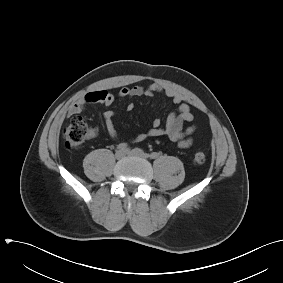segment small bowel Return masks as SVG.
I'll list each match as a JSON object with an SVG mask.
<instances>
[{
    "mask_svg": "<svg viewBox=\"0 0 283 283\" xmlns=\"http://www.w3.org/2000/svg\"><path fill=\"white\" fill-rule=\"evenodd\" d=\"M156 94H163L177 106L176 110L171 112L165 122L162 125V120L157 117L153 121L152 128L144 133L138 135L134 141L141 142L148 138L166 136L169 140L174 142L180 148H188L193 143V134L196 130L195 125H190L187 128H183L184 123L192 122L194 115L190 106L184 102L181 95L174 92L173 90L165 89L157 83H151L147 86L135 85L132 87H123L119 91L121 98L149 96L153 97ZM115 97L112 93L105 90L91 91L79 98L73 103L68 109V115L72 116L79 114L88 104L99 103L106 106L113 104ZM134 110V104L128 103L127 111L131 112ZM114 112L108 110L104 113L105 127L109 135L114 139H119V133L113 123Z\"/></svg>",
    "mask_w": 283,
    "mask_h": 283,
    "instance_id": "1",
    "label": "small bowel"
}]
</instances>
